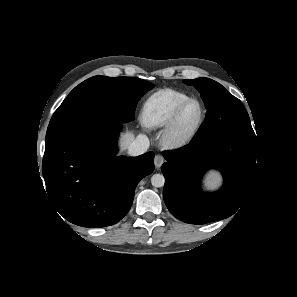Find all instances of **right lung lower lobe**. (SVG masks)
<instances>
[{"label":"right lung lower lobe","instance_id":"1","mask_svg":"<svg viewBox=\"0 0 297 297\" xmlns=\"http://www.w3.org/2000/svg\"><path fill=\"white\" fill-rule=\"evenodd\" d=\"M121 123L84 129L45 148L46 191L60 214L83 227H105L129 211L139 181L154 170V153L116 156Z\"/></svg>","mask_w":297,"mask_h":297}]
</instances>
